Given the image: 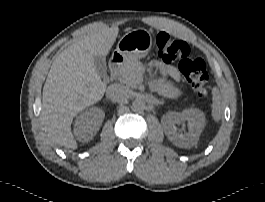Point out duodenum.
I'll list each match as a JSON object with an SVG mask.
<instances>
[{"mask_svg":"<svg viewBox=\"0 0 265 202\" xmlns=\"http://www.w3.org/2000/svg\"><path fill=\"white\" fill-rule=\"evenodd\" d=\"M124 61V56L119 53V52H115L112 57H111V60L109 62V72L112 76H116L118 71H119V68H120V65L123 63Z\"/></svg>","mask_w":265,"mask_h":202,"instance_id":"1","label":"duodenum"}]
</instances>
